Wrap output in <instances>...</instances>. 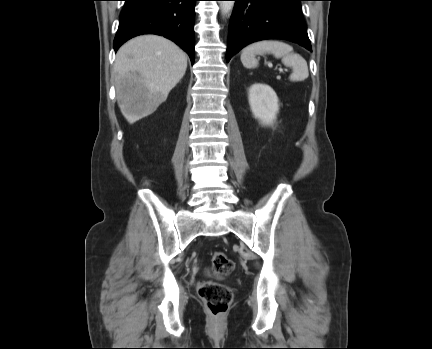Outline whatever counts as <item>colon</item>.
Returning <instances> with one entry per match:
<instances>
[{
  "instance_id": "5ec220e1",
  "label": "colon",
  "mask_w": 432,
  "mask_h": 349,
  "mask_svg": "<svg viewBox=\"0 0 432 349\" xmlns=\"http://www.w3.org/2000/svg\"><path fill=\"white\" fill-rule=\"evenodd\" d=\"M212 269L218 276L229 275L234 270V262L223 252L212 255ZM207 308L214 316L226 313L232 302V291L229 287L215 282H207L199 290Z\"/></svg>"
}]
</instances>
